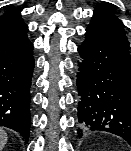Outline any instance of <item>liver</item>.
<instances>
[{
	"mask_svg": "<svg viewBox=\"0 0 131 151\" xmlns=\"http://www.w3.org/2000/svg\"><path fill=\"white\" fill-rule=\"evenodd\" d=\"M8 140L7 133L0 128V151L4 147Z\"/></svg>",
	"mask_w": 131,
	"mask_h": 151,
	"instance_id": "6515ba94",
	"label": "liver"
}]
</instances>
